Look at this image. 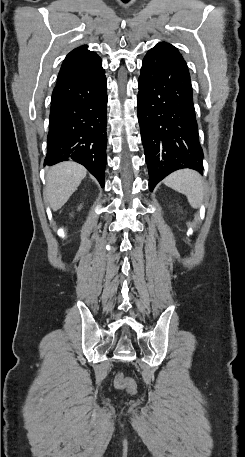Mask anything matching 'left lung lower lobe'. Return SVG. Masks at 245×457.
<instances>
[{
	"label": "left lung lower lobe",
	"instance_id": "left-lung-lower-lobe-1",
	"mask_svg": "<svg viewBox=\"0 0 245 457\" xmlns=\"http://www.w3.org/2000/svg\"><path fill=\"white\" fill-rule=\"evenodd\" d=\"M138 120L150 191L171 172L203 171V151L186 61L177 48L159 43L143 59L138 80Z\"/></svg>",
	"mask_w": 245,
	"mask_h": 457
}]
</instances>
